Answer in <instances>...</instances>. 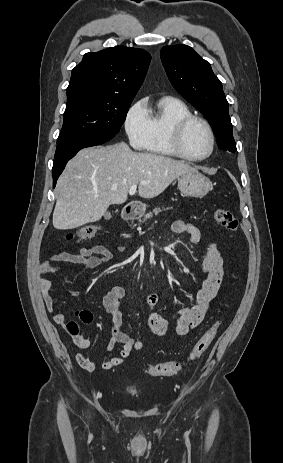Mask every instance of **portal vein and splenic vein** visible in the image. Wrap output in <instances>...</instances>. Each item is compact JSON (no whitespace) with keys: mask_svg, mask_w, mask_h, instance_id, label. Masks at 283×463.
Returning <instances> with one entry per match:
<instances>
[{"mask_svg":"<svg viewBox=\"0 0 283 463\" xmlns=\"http://www.w3.org/2000/svg\"><path fill=\"white\" fill-rule=\"evenodd\" d=\"M140 184H146V182H141ZM137 184H134L130 187L129 194L132 196L136 193Z\"/></svg>","mask_w":283,"mask_h":463,"instance_id":"1","label":"portal vein and splenic vein"}]
</instances>
